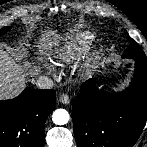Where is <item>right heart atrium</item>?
Segmentation results:
<instances>
[{
  "label": "right heart atrium",
  "instance_id": "obj_1",
  "mask_svg": "<svg viewBox=\"0 0 147 147\" xmlns=\"http://www.w3.org/2000/svg\"><path fill=\"white\" fill-rule=\"evenodd\" d=\"M45 67L53 75H56L58 73V69L54 63L46 62Z\"/></svg>",
  "mask_w": 147,
  "mask_h": 147
}]
</instances>
